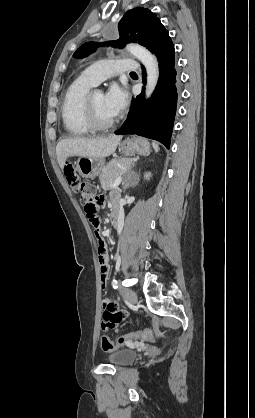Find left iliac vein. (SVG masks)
<instances>
[{"instance_id":"4c4485c4","label":"left iliac vein","mask_w":255,"mask_h":418,"mask_svg":"<svg viewBox=\"0 0 255 418\" xmlns=\"http://www.w3.org/2000/svg\"><path fill=\"white\" fill-rule=\"evenodd\" d=\"M120 294L127 299L130 303H136L137 301V296L135 294V292H133L130 289L124 288V287H120L119 289Z\"/></svg>"}]
</instances>
